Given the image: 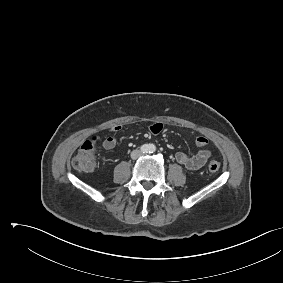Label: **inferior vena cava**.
<instances>
[{"label": "inferior vena cava", "instance_id": "obj_1", "mask_svg": "<svg viewBox=\"0 0 283 283\" xmlns=\"http://www.w3.org/2000/svg\"><path fill=\"white\" fill-rule=\"evenodd\" d=\"M142 155V152L140 151V150H133L132 152H131V158L132 159H136V158H138L139 156H141Z\"/></svg>", "mask_w": 283, "mask_h": 283}]
</instances>
